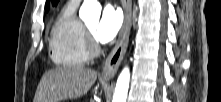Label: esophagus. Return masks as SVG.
Returning <instances> with one entry per match:
<instances>
[{"label": "esophagus", "instance_id": "1", "mask_svg": "<svg viewBox=\"0 0 221 102\" xmlns=\"http://www.w3.org/2000/svg\"><path fill=\"white\" fill-rule=\"evenodd\" d=\"M123 6L125 9L124 24L118 41L103 64L101 77L104 79H111L115 76L128 46L132 13L131 0H124Z\"/></svg>", "mask_w": 221, "mask_h": 102}]
</instances>
